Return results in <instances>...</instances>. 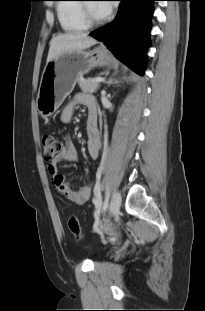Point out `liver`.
<instances>
[{
  "mask_svg": "<svg viewBox=\"0 0 205 311\" xmlns=\"http://www.w3.org/2000/svg\"><path fill=\"white\" fill-rule=\"evenodd\" d=\"M97 43V40L88 36L86 33H65L53 37L47 62L57 59L64 53H72L87 49Z\"/></svg>",
  "mask_w": 205,
  "mask_h": 311,
  "instance_id": "liver-1",
  "label": "liver"
}]
</instances>
